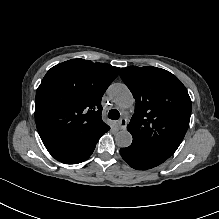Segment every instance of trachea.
<instances>
[{"label": "trachea", "instance_id": "trachea-1", "mask_svg": "<svg viewBox=\"0 0 219 219\" xmlns=\"http://www.w3.org/2000/svg\"><path fill=\"white\" fill-rule=\"evenodd\" d=\"M108 117H109L110 119H112V120H118L119 117H120V113H119L118 110L112 109V110L109 111Z\"/></svg>", "mask_w": 219, "mask_h": 219}]
</instances>
